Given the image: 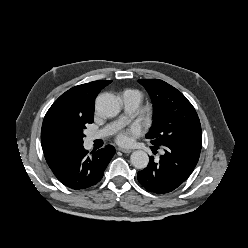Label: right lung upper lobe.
<instances>
[{
	"instance_id": "1",
	"label": "right lung upper lobe",
	"mask_w": 248,
	"mask_h": 248,
	"mask_svg": "<svg viewBox=\"0 0 248 248\" xmlns=\"http://www.w3.org/2000/svg\"><path fill=\"white\" fill-rule=\"evenodd\" d=\"M110 83L98 80L75 86L49 108L42 124L41 144L50 168L81 147L72 136V126L80 120H93L95 98Z\"/></svg>"
}]
</instances>
